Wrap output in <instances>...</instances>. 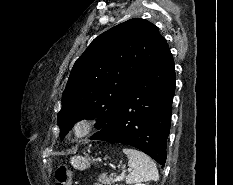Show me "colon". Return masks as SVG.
Here are the masks:
<instances>
[{
  "label": "colon",
  "instance_id": "5ec220e1",
  "mask_svg": "<svg viewBox=\"0 0 233 185\" xmlns=\"http://www.w3.org/2000/svg\"><path fill=\"white\" fill-rule=\"evenodd\" d=\"M55 185H72V172L66 165H60L57 168Z\"/></svg>",
  "mask_w": 233,
  "mask_h": 185
}]
</instances>
